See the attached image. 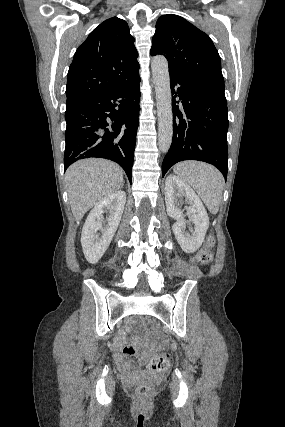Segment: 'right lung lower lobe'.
<instances>
[{
  "instance_id": "obj_1",
  "label": "right lung lower lobe",
  "mask_w": 285,
  "mask_h": 427,
  "mask_svg": "<svg viewBox=\"0 0 285 427\" xmlns=\"http://www.w3.org/2000/svg\"><path fill=\"white\" fill-rule=\"evenodd\" d=\"M139 83L138 76L118 89L66 106L64 171L79 159L99 157L118 163L132 181Z\"/></svg>"
}]
</instances>
